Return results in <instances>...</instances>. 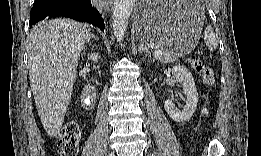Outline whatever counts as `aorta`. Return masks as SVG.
I'll return each mask as SVG.
<instances>
[{
	"instance_id": "aorta-1",
	"label": "aorta",
	"mask_w": 261,
	"mask_h": 156,
	"mask_svg": "<svg viewBox=\"0 0 261 156\" xmlns=\"http://www.w3.org/2000/svg\"><path fill=\"white\" fill-rule=\"evenodd\" d=\"M133 0H115L113 9V32L119 43L124 39L126 28L128 26L129 17L133 10Z\"/></svg>"
}]
</instances>
